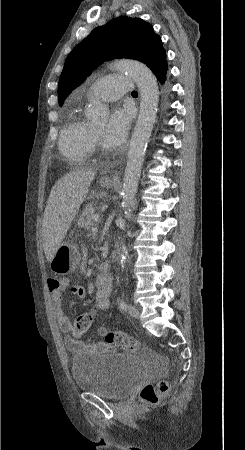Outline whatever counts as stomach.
I'll return each instance as SVG.
<instances>
[{"label": "stomach", "instance_id": "obj_1", "mask_svg": "<svg viewBox=\"0 0 245 450\" xmlns=\"http://www.w3.org/2000/svg\"><path fill=\"white\" fill-rule=\"evenodd\" d=\"M101 184L109 188L113 185V182L102 181ZM79 262L80 254L78 249L69 242H63L52 258L50 268L56 274L66 275L73 272Z\"/></svg>", "mask_w": 245, "mask_h": 450}]
</instances>
